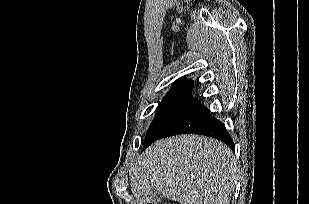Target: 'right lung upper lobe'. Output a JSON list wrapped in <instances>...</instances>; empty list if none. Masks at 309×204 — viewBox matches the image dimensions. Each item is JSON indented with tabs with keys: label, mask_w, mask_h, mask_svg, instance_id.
I'll use <instances>...</instances> for the list:
<instances>
[{
	"label": "right lung upper lobe",
	"mask_w": 309,
	"mask_h": 204,
	"mask_svg": "<svg viewBox=\"0 0 309 204\" xmlns=\"http://www.w3.org/2000/svg\"><path fill=\"white\" fill-rule=\"evenodd\" d=\"M192 88V81L186 78H179L173 83L171 89L162 100V103L195 104L199 106L197 98L191 97Z\"/></svg>",
	"instance_id": "right-lung-upper-lobe-1"
}]
</instances>
